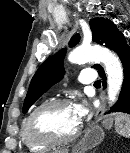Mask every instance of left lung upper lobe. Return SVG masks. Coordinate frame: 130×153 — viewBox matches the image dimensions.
Masks as SVG:
<instances>
[{
	"label": "left lung upper lobe",
	"instance_id": "left-lung-upper-lobe-1",
	"mask_svg": "<svg viewBox=\"0 0 130 153\" xmlns=\"http://www.w3.org/2000/svg\"><path fill=\"white\" fill-rule=\"evenodd\" d=\"M89 25L91 27L93 41L104 46H106L108 40L112 36L119 32L115 24L105 18L91 19ZM79 40L80 35H74L69 42V46L73 47L77 45ZM65 52L66 49H61L40 65L31 80L23 105V113H26L45 91L62 79L64 75L63 58L65 56ZM92 67L98 70L101 66L99 64H95Z\"/></svg>",
	"mask_w": 130,
	"mask_h": 153
}]
</instances>
